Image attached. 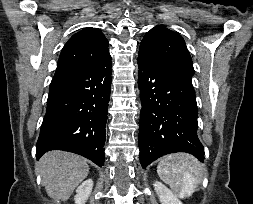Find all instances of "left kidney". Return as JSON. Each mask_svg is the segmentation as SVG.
<instances>
[{
	"label": "left kidney",
	"instance_id": "5707ae66",
	"mask_svg": "<svg viewBox=\"0 0 253 204\" xmlns=\"http://www.w3.org/2000/svg\"><path fill=\"white\" fill-rule=\"evenodd\" d=\"M155 191L157 192L161 204H183L177 195L168 189L164 184L159 181H155L153 184Z\"/></svg>",
	"mask_w": 253,
	"mask_h": 204
}]
</instances>
